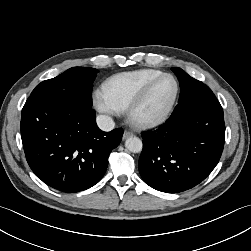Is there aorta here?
<instances>
[{
  "instance_id": "762f6f07",
  "label": "aorta",
  "mask_w": 251,
  "mask_h": 251,
  "mask_svg": "<svg viewBox=\"0 0 251 251\" xmlns=\"http://www.w3.org/2000/svg\"><path fill=\"white\" fill-rule=\"evenodd\" d=\"M125 147L133 153H139L142 151V141L140 138L131 136L125 141Z\"/></svg>"
}]
</instances>
